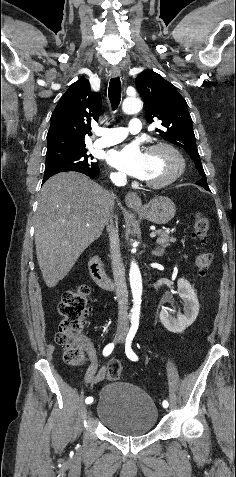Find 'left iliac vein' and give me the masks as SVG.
Here are the masks:
<instances>
[{"label": "left iliac vein", "instance_id": "obj_1", "mask_svg": "<svg viewBox=\"0 0 236 477\" xmlns=\"http://www.w3.org/2000/svg\"><path fill=\"white\" fill-rule=\"evenodd\" d=\"M121 341H123V339ZM162 411H163V413L167 414V413H169L170 410L167 406H164Z\"/></svg>", "mask_w": 236, "mask_h": 477}]
</instances>
